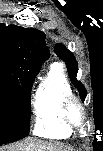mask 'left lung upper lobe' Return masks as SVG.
<instances>
[{"label": "left lung upper lobe", "mask_w": 103, "mask_h": 151, "mask_svg": "<svg viewBox=\"0 0 103 151\" xmlns=\"http://www.w3.org/2000/svg\"><path fill=\"white\" fill-rule=\"evenodd\" d=\"M55 52L60 59L65 61L71 82L78 89V91L80 92V97H81L82 101H84L87 91H86L85 87L83 86V84L76 79L78 65H77V61H76L75 57L62 44L55 45Z\"/></svg>", "instance_id": "1"}]
</instances>
